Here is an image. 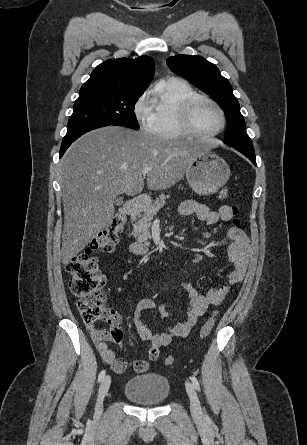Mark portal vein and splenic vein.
Here are the masks:
<instances>
[{
    "mask_svg": "<svg viewBox=\"0 0 307 445\" xmlns=\"http://www.w3.org/2000/svg\"><path fill=\"white\" fill-rule=\"evenodd\" d=\"M149 170H151L150 166H145V168H143V170H141L142 174H147V172H149Z\"/></svg>",
    "mask_w": 307,
    "mask_h": 445,
    "instance_id": "portal-vein-and-splenic-vein-1",
    "label": "portal vein and splenic vein"
}]
</instances>
